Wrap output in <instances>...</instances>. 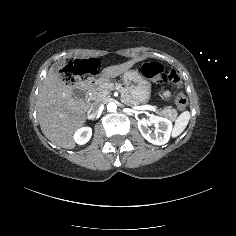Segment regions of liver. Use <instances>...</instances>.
Segmentation results:
<instances>
[{"mask_svg": "<svg viewBox=\"0 0 236 236\" xmlns=\"http://www.w3.org/2000/svg\"><path fill=\"white\" fill-rule=\"evenodd\" d=\"M145 57H135L121 64L102 69L101 78H115L131 69ZM37 118L44 136L64 149L76 147L75 133L87 122L84 102L75 99L55 73L53 66L41 83L36 102Z\"/></svg>", "mask_w": 236, "mask_h": 236, "instance_id": "6515ba94", "label": "liver"}]
</instances>
